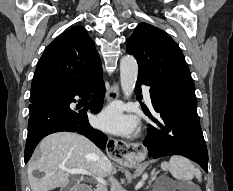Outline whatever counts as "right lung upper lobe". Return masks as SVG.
Listing matches in <instances>:
<instances>
[{"mask_svg":"<svg viewBox=\"0 0 233 191\" xmlns=\"http://www.w3.org/2000/svg\"><path fill=\"white\" fill-rule=\"evenodd\" d=\"M102 72L94 42L82 26L63 32L41 56L31 89L41 86L80 85Z\"/></svg>","mask_w":233,"mask_h":191,"instance_id":"right-lung-upper-lobe-1","label":"right lung upper lobe"}]
</instances>
